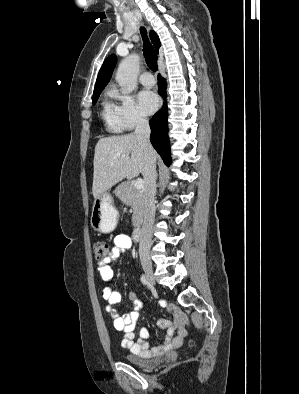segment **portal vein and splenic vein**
Wrapping results in <instances>:
<instances>
[{
    "mask_svg": "<svg viewBox=\"0 0 299 394\" xmlns=\"http://www.w3.org/2000/svg\"><path fill=\"white\" fill-rule=\"evenodd\" d=\"M134 187L136 190H142L144 188V181L141 178L136 179Z\"/></svg>",
    "mask_w": 299,
    "mask_h": 394,
    "instance_id": "obj_1",
    "label": "portal vein and splenic vein"
}]
</instances>
